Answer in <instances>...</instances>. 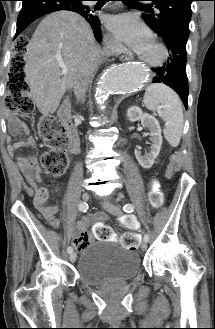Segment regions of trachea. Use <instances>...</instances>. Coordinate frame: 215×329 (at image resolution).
I'll use <instances>...</instances> for the list:
<instances>
[{
	"instance_id": "obj_1",
	"label": "trachea",
	"mask_w": 215,
	"mask_h": 329,
	"mask_svg": "<svg viewBox=\"0 0 215 329\" xmlns=\"http://www.w3.org/2000/svg\"><path fill=\"white\" fill-rule=\"evenodd\" d=\"M125 5H138L136 0H121ZM143 7H148L147 5H140Z\"/></svg>"
}]
</instances>
